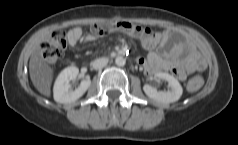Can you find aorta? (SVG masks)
<instances>
[{
  "label": "aorta",
  "mask_w": 238,
  "mask_h": 145,
  "mask_svg": "<svg viewBox=\"0 0 238 145\" xmlns=\"http://www.w3.org/2000/svg\"><path fill=\"white\" fill-rule=\"evenodd\" d=\"M125 63H126V60H125L124 57H122V56H117V57H116V59H115V64H116L117 66H124Z\"/></svg>",
  "instance_id": "obj_1"
}]
</instances>
